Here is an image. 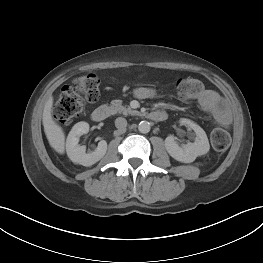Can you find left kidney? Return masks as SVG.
<instances>
[{
	"label": "left kidney",
	"mask_w": 263,
	"mask_h": 263,
	"mask_svg": "<svg viewBox=\"0 0 263 263\" xmlns=\"http://www.w3.org/2000/svg\"><path fill=\"white\" fill-rule=\"evenodd\" d=\"M180 123L194 130L196 133L195 141L180 146L176 138L170 135L165 139V147L169 155L175 160L183 163H191L198 156L205 155L209 151V141L205 131L196 123L188 119H181Z\"/></svg>",
	"instance_id": "1"
}]
</instances>
